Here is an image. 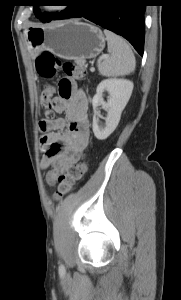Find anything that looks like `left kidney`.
<instances>
[{
    "instance_id": "left-kidney-1",
    "label": "left kidney",
    "mask_w": 181,
    "mask_h": 300,
    "mask_svg": "<svg viewBox=\"0 0 181 300\" xmlns=\"http://www.w3.org/2000/svg\"><path fill=\"white\" fill-rule=\"evenodd\" d=\"M133 90V82L127 79L110 78L99 83L92 105L94 110L93 132L98 140H105L118 126L121 113L127 105ZM109 93L107 102L103 99V92ZM102 106L107 110L105 125H99L97 110Z\"/></svg>"
}]
</instances>
